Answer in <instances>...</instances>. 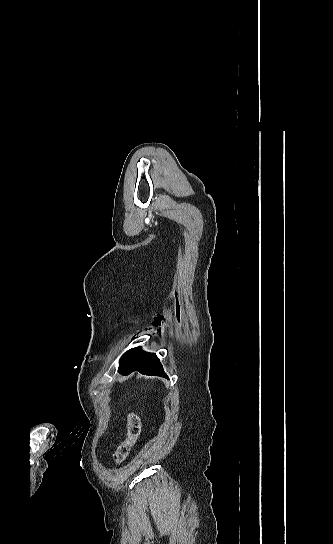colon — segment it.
<instances>
[{"label":"colon","instance_id":"obj_1","mask_svg":"<svg viewBox=\"0 0 333 544\" xmlns=\"http://www.w3.org/2000/svg\"><path fill=\"white\" fill-rule=\"evenodd\" d=\"M127 437L121 442L115 451H113L111 458L114 464H122L136 445L141 435V419L140 416L134 412L129 411L126 415Z\"/></svg>","mask_w":333,"mask_h":544}]
</instances>
